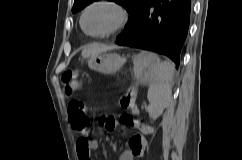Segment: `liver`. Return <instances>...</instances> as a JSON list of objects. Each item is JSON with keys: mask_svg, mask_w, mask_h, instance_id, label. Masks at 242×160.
Here are the masks:
<instances>
[{"mask_svg": "<svg viewBox=\"0 0 242 160\" xmlns=\"http://www.w3.org/2000/svg\"><path fill=\"white\" fill-rule=\"evenodd\" d=\"M118 48L117 45L93 44L83 49L81 56L83 58H94L103 52Z\"/></svg>", "mask_w": 242, "mask_h": 160, "instance_id": "liver-1", "label": "liver"}]
</instances>
